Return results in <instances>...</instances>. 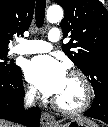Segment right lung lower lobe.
Instances as JSON below:
<instances>
[{"label":"right lung lower lobe","mask_w":108,"mask_h":127,"mask_svg":"<svg viewBox=\"0 0 108 127\" xmlns=\"http://www.w3.org/2000/svg\"><path fill=\"white\" fill-rule=\"evenodd\" d=\"M25 95L21 68L15 72L0 71V118L28 127H39L40 109L23 108Z\"/></svg>","instance_id":"right-lung-lower-lobe-1"}]
</instances>
